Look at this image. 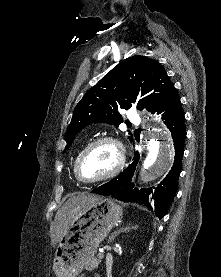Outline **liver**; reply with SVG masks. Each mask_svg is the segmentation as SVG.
I'll list each match as a JSON object with an SVG mask.
<instances>
[{
  "mask_svg": "<svg viewBox=\"0 0 221 277\" xmlns=\"http://www.w3.org/2000/svg\"><path fill=\"white\" fill-rule=\"evenodd\" d=\"M100 199L95 194H80L73 196L57 211L55 216L54 233L51 236L53 247L61 240L68 230L69 224L78 213L88 205Z\"/></svg>",
  "mask_w": 221,
  "mask_h": 277,
  "instance_id": "obj_1",
  "label": "liver"
}]
</instances>
